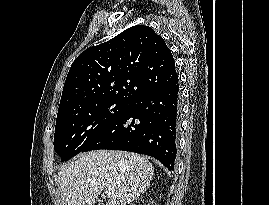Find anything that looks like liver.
<instances>
[{"label": "liver", "mask_w": 269, "mask_h": 205, "mask_svg": "<svg viewBox=\"0 0 269 205\" xmlns=\"http://www.w3.org/2000/svg\"><path fill=\"white\" fill-rule=\"evenodd\" d=\"M153 165L139 154L96 150L63 166L58 183L63 205H93L105 189H111L107 205H126L150 185Z\"/></svg>", "instance_id": "1"}]
</instances>
